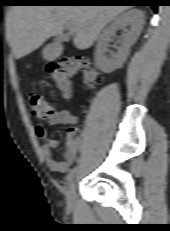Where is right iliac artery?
Instances as JSON below:
<instances>
[{"label": "right iliac artery", "mask_w": 170, "mask_h": 231, "mask_svg": "<svg viewBox=\"0 0 170 231\" xmlns=\"http://www.w3.org/2000/svg\"><path fill=\"white\" fill-rule=\"evenodd\" d=\"M76 171H77L76 167H74L73 169L70 170V172H69V174L67 176V180H68L69 183L73 180V178H74V176L76 174Z\"/></svg>", "instance_id": "right-iliac-artery-1"}]
</instances>
